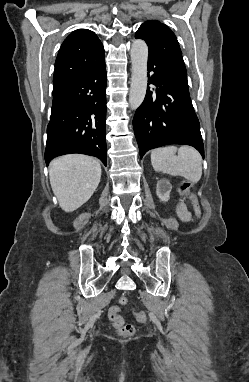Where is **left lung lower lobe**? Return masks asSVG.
Instances as JSON below:
<instances>
[{
    "label": "left lung lower lobe",
    "instance_id": "0a47b994",
    "mask_svg": "<svg viewBox=\"0 0 249 382\" xmlns=\"http://www.w3.org/2000/svg\"><path fill=\"white\" fill-rule=\"evenodd\" d=\"M153 75L149 76V72ZM148 85L143 103L133 118L134 133L140 157L150 149L169 144L195 147L204 158V146L199 120L195 114L188 90V82L161 67L148 57Z\"/></svg>",
    "mask_w": 249,
    "mask_h": 382
}]
</instances>
